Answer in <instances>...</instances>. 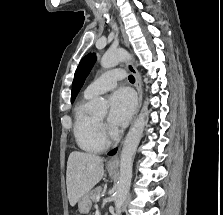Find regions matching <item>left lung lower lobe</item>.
<instances>
[{
    "label": "left lung lower lobe",
    "instance_id": "0a47b994",
    "mask_svg": "<svg viewBox=\"0 0 223 215\" xmlns=\"http://www.w3.org/2000/svg\"><path fill=\"white\" fill-rule=\"evenodd\" d=\"M117 149L112 150L111 152H109V155H114L116 153Z\"/></svg>",
    "mask_w": 223,
    "mask_h": 215
}]
</instances>
